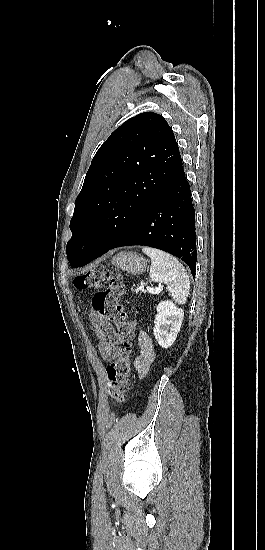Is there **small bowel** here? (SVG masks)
<instances>
[{"label": "small bowel", "instance_id": "1", "mask_svg": "<svg viewBox=\"0 0 265 550\" xmlns=\"http://www.w3.org/2000/svg\"><path fill=\"white\" fill-rule=\"evenodd\" d=\"M90 324L101 358L106 362L114 360L122 353L120 345L124 341V336L116 332L111 324L96 312L91 313ZM138 345L140 352L135 359L134 366L138 376L143 377L155 359V351L150 337L145 333L140 334Z\"/></svg>", "mask_w": 265, "mask_h": 550}]
</instances>
